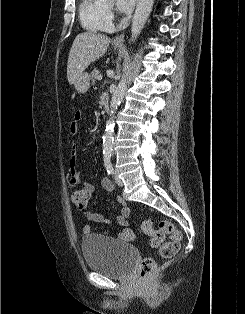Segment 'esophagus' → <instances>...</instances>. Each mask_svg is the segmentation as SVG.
Segmentation results:
<instances>
[{"label":"esophagus","instance_id":"esophagus-1","mask_svg":"<svg viewBox=\"0 0 245 314\" xmlns=\"http://www.w3.org/2000/svg\"><path fill=\"white\" fill-rule=\"evenodd\" d=\"M124 37H125V34H124V33H122V34L116 36V37L113 39V43H115V44H120V43H122V42L124 41Z\"/></svg>","mask_w":245,"mask_h":314}]
</instances>
